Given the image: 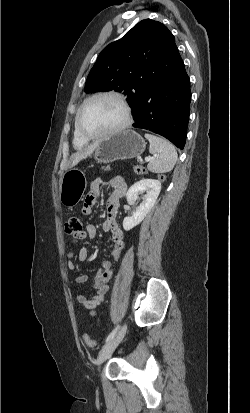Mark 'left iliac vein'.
I'll use <instances>...</instances> for the list:
<instances>
[{
	"mask_svg": "<svg viewBox=\"0 0 250 413\" xmlns=\"http://www.w3.org/2000/svg\"><path fill=\"white\" fill-rule=\"evenodd\" d=\"M127 330V326L124 325L118 333L110 340L108 341L105 346L101 349L99 352L98 358H97V365L100 366L105 360H107L113 351L116 349V347L119 345V343L122 341V339L125 336Z\"/></svg>",
	"mask_w": 250,
	"mask_h": 413,
	"instance_id": "obj_1",
	"label": "left iliac vein"
}]
</instances>
